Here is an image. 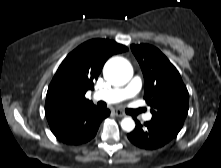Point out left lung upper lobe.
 Here are the masks:
<instances>
[{
    "instance_id": "left-lung-upper-lobe-1",
    "label": "left lung upper lobe",
    "mask_w": 221,
    "mask_h": 168,
    "mask_svg": "<svg viewBox=\"0 0 221 168\" xmlns=\"http://www.w3.org/2000/svg\"><path fill=\"white\" fill-rule=\"evenodd\" d=\"M145 80L144 99L153 121L181 130L189 109V93L177 69L157 48L131 45Z\"/></svg>"
}]
</instances>
